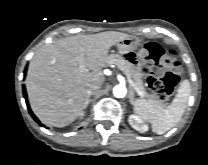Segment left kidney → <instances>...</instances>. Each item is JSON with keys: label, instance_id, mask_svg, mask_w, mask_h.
I'll use <instances>...</instances> for the list:
<instances>
[{"label": "left kidney", "instance_id": "5707ae66", "mask_svg": "<svg viewBox=\"0 0 208 165\" xmlns=\"http://www.w3.org/2000/svg\"><path fill=\"white\" fill-rule=\"evenodd\" d=\"M128 122L135 130L140 133H144L149 130L148 125L143 123V121L136 115H130L128 118Z\"/></svg>", "mask_w": 208, "mask_h": 165}]
</instances>
